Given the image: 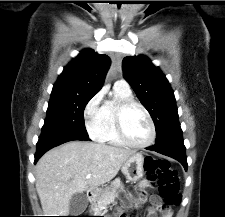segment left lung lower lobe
I'll use <instances>...</instances> for the list:
<instances>
[{"mask_svg":"<svg viewBox=\"0 0 225 217\" xmlns=\"http://www.w3.org/2000/svg\"><path fill=\"white\" fill-rule=\"evenodd\" d=\"M147 149L172 157L178 160L183 165L185 170H187L188 168L187 158L185 154L186 148L183 144L182 135L162 141L155 144L154 146L148 147Z\"/></svg>","mask_w":225,"mask_h":217,"instance_id":"1","label":"left lung lower lobe"}]
</instances>
